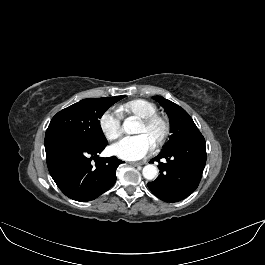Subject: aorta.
I'll return each instance as SVG.
<instances>
[{
	"instance_id": "aorta-1",
	"label": "aorta",
	"mask_w": 265,
	"mask_h": 265,
	"mask_svg": "<svg viewBox=\"0 0 265 265\" xmlns=\"http://www.w3.org/2000/svg\"><path fill=\"white\" fill-rule=\"evenodd\" d=\"M123 130L127 134H135L137 133V130H138V123L132 118H127L124 120ZM142 174L145 179L153 180L158 175V169L156 166L149 164L143 168Z\"/></svg>"
}]
</instances>
